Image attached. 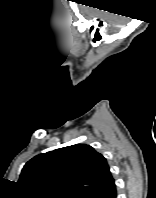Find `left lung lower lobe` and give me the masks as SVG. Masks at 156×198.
<instances>
[{
  "instance_id": "1",
  "label": "left lung lower lobe",
  "mask_w": 156,
  "mask_h": 198,
  "mask_svg": "<svg viewBox=\"0 0 156 198\" xmlns=\"http://www.w3.org/2000/svg\"><path fill=\"white\" fill-rule=\"evenodd\" d=\"M116 186L113 177L110 179L96 192L91 194L89 198H116Z\"/></svg>"
}]
</instances>
